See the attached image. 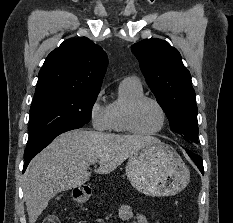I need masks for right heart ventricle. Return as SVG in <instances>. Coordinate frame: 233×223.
I'll list each match as a JSON object with an SVG mask.
<instances>
[{
  "label": "right heart ventricle",
  "mask_w": 233,
  "mask_h": 223,
  "mask_svg": "<svg viewBox=\"0 0 233 223\" xmlns=\"http://www.w3.org/2000/svg\"><path fill=\"white\" fill-rule=\"evenodd\" d=\"M143 96V88L140 82L123 81L119 86V96L109 104V130L129 134L126 125V110L135 99Z\"/></svg>",
  "instance_id": "right-heart-ventricle-1"
}]
</instances>
